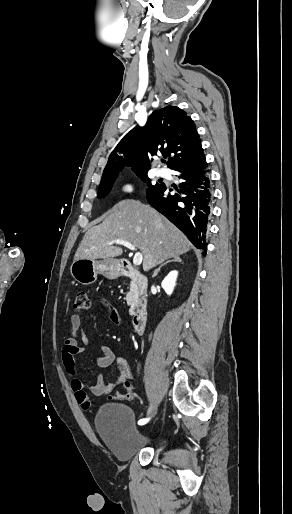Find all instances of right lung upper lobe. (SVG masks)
<instances>
[{
	"label": "right lung upper lobe",
	"mask_w": 292,
	"mask_h": 514,
	"mask_svg": "<svg viewBox=\"0 0 292 514\" xmlns=\"http://www.w3.org/2000/svg\"><path fill=\"white\" fill-rule=\"evenodd\" d=\"M162 153L174 170L203 154L196 126L185 111L166 106L154 111L144 127L129 131L109 156L102 179L117 178L124 166L136 174L150 169V156Z\"/></svg>",
	"instance_id": "1"
}]
</instances>
